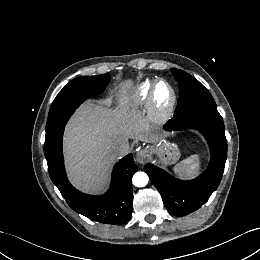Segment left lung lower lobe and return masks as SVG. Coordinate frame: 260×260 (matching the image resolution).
<instances>
[{"instance_id":"left-lung-lower-lobe-1","label":"left lung lower lobe","mask_w":260,"mask_h":260,"mask_svg":"<svg viewBox=\"0 0 260 260\" xmlns=\"http://www.w3.org/2000/svg\"><path fill=\"white\" fill-rule=\"evenodd\" d=\"M197 128L207 139L211 160L208 169L192 181H179L164 170L152 165L144 166L152 184L160 192L168 212L185 216L200 208L218 187L227 158V140L221 115L217 108L199 107L174 116L165 125L167 130Z\"/></svg>"}]
</instances>
